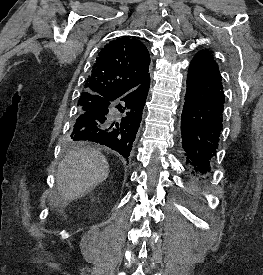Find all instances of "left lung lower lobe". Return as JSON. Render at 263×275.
Returning <instances> with one entry per match:
<instances>
[{
  "label": "left lung lower lobe",
  "instance_id": "left-lung-lower-lobe-1",
  "mask_svg": "<svg viewBox=\"0 0 263 275\" xmlns=\"http://www.w3.org/2000/svg\"><path fill=\"white\" fill-rule=\"evenodd\" d=\"M221 80L211 53L198 52L189 66L181 117L185 164L193 174L210 172L216 155L225 102Z\"/></svg>",
  "mask_w": 263,
  "mask_h": 275
}]
</instances>
